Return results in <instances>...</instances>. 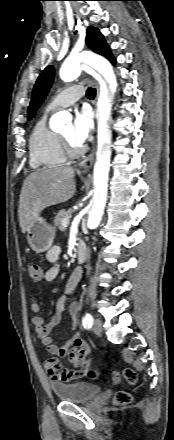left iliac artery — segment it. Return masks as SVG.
<instances>
[{
	"instance_id": "1",
	"label": "left iliac artery",
	"mask_w": 174,
	"mask_h": 440,
	"mask_svg": "<svg viewBox=\"0 0 174 440\" xmlns=\"http://www.w3.org/2000/svg\"><path fill=\"white\" fill-rule=\"evenodd\" d=\"M82 323H83V326H84L85 328H86V327H91L92 324H93V317H92L89 313H87V314L85 315V317L83 318Z\"/></svg>"
}]
</instances>
